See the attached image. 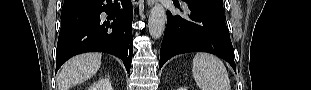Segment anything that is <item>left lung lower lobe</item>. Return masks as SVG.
Segmentation results:
<instances>
[{
	"label": "left lung lower lobe",
	"mask_w": 311,
	"mask_h": 90,
	"mask_svg": "<svg viewBox=\"0 0 311 90\" xmlns=\"http://www.w3.org/2000/svg\"><path fill=\"white\" fill-rule=\"evenodd\" d=\"M190 9L187 17L167 11L159 68L175 55L188 52H208L229 62L236 71L234 50L223 12L186 2ZM179 7L178 3L176 4Z\"/></svg>",
	"instance_id": "obj_1"
}]
</instances>
